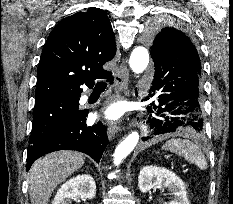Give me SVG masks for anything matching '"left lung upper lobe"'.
Wrapping results in <instances>:
<instances>
[{
  "mask_svg": "<svg viewBox=\"0 0 233 204\" xmlns=\"http://www.w3.org/2000/svg\"><path fill=\"white\" fill-rule=\"evenodd\" d=\"M148 41L152 58L163 48L183 51L193 62L195 73L202 79V69L198 50L193 36L181 27L167 23L153 24L149 30Z\"/></svg>",
  "mask_w": 233,
  "mask_h": 204,
  "instance_id": "obj_1",
  "label": "left lung upper lobe"
}]
</instances>
